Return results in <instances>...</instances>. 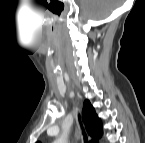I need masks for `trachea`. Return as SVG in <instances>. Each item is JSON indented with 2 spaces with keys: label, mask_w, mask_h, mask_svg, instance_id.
<instances>
[{
  "label": "trachea",
  "mask_w": 145,
  "mask_h": 143,
  "mask_svg": "<svg viewBox=\"0 0 145 143\" xmlns=\"http://www.w3.org/2000/svg\"><path fill=\"white\" fill-rule=\"evenodd\" d=\"M83 134H84V142H85V143H88L87 136H86L84 130H83Z\"/></svg>",
  "instance_id": "1"
}]
</instances>
